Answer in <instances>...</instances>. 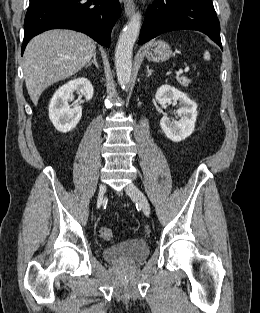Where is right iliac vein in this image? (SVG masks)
<instances>
[{"instance_id": "obj_1", "label": "right iliac vein", "mask_w": 260, "mask_h": 313, "mask_svg": "<svg viewBox=\"0 0 260 313\" xmlns=\"http://www.w3.org/2000/svg\"><path fill=\"white\" fill-rule=\"evenodd\" d=\"M106 192V185L102 184L99 188V193H98V203L101 204L104 199V194Z\"/></svg>"}]
</instances>
